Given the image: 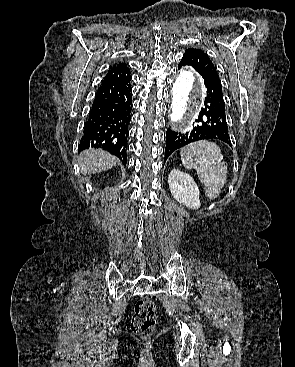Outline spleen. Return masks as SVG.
<instances>
[{
  "mask_svg": "<svg viewBox=\"0 0 295 367\" xmlns=\"http://www.w3.org/2000/svg\"><path fill=\"white\" fill-rule=\"evenodd\" d=\"M180 156L186 169L197 171L205 195L209 199L217 198L227 178V163L217 144L206 140L194 142L183 147Z\"/></svg>",
  "mask_w": 295,
  "mask_h": 367,
  "instance_id": "1",
  "label": "spleen"
}]
</instances>
